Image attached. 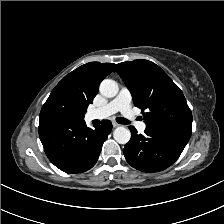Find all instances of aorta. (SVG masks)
<instances>
[{"label":"aorta","mask_w":224,"mask_h":224,"mask_svg":"<svg viewBox=\"0 0 224 224\" xmlns=\"http://www.w3.org/2000/svg\"><path fill=\"white\" fill-rule=\"evenodd\" d=\"M99 90L103 96L112 98L117 95L119 87L116 81L112 79H104L100 84ZM113 138L119 144H126L131 138V132L128 128L119 126L114 130Z\"/></svg>","instance_id":"obj_1"}]
</instances>
